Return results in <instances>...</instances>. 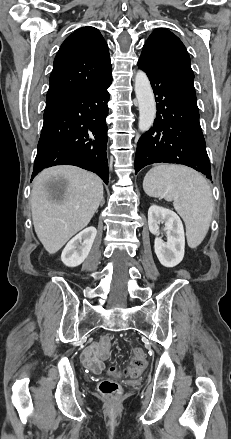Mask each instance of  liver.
<instances>
[{"mask_svg":"<svg viewBox=\"0 0 231 439\" xmlns=\"http://www.w3.org/2000/svg\"><path fill=\"white\" fill-rule=\"evenodd\" d=\"M64 182L60 193L50 182ZM103 199L101 179L72 166H54L34 179L31 211L37 237L49 254H55L77 232L86 227Z\"/></svg>","mask_w":231,"mask_h":439,"instance_id":"1","label":"liver"}]
</instances>
